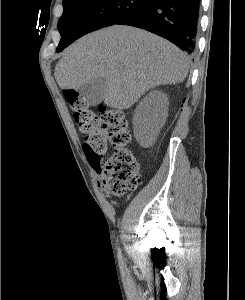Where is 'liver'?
Here are the masks:
<instances>
[{
  "label": "liver",
  "mask_w": 245,
  "mask_h": 300,
  "mask_svg": "<svg viewBox=\"0 0 245 300\" xmlns=\"http://www.w3.org/2000/svg\"><path fill=\"white\" fill-rule=\"evenodd\" d=\"M188 70L187 56L169 41L142 29L114 25L68 47L54 75L64 90L105 78V104L123 110L151 88L183 82Z\"/></svg>",
  "instance_id": "liver-1"
}]
</instances>
